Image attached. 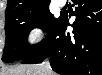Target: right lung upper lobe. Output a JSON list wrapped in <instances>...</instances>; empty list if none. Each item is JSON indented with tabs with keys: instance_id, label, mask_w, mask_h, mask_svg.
Instances as JSON below:
<instances>
[{
	"instance_id": "1",
	"label": "right lung upper lobe",
	"mask_w": 102,
	"mask_h": 75,
	"mask_svg": "<svg viewBox=\"0 0 102 75\" xmlns=\"http://www.w3.org/2000/svg\"><path fill=\"white\" fill-rule=\"evenodd\" d=\"M49 4V0H8L6 15L30 11Z\"/></svg>"
}]
</instances>
